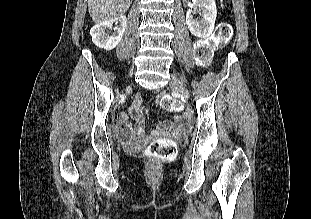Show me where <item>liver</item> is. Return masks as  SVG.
Segmentation results:
<instances>
[{
    "label": "liver",
    "mask_w": 311,
    "mask_h": 219,
    "mask_svg": "<svg viewBox=\"0 0 311 219\" xmlns=\"http://www.w3.org/2000/svg\"><path fill=\"white\" fill-rule=\"evenodd\" d=\"M133 0H88L90 17L95 24L122 16Z\"/></svg>",
    "instance_id": "1"
}]
</instances>
